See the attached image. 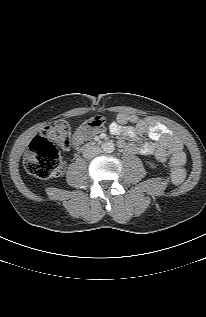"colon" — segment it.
Segmentation results:
<instances>
[{
    "label": "colon",
    "mask_w": 206,
    "mask_h": 317,
    "mask_svg": "<svg viewBox=\"0 0 206 317\" xmlns=\"http://www.w3.org/2000/svg\"><path fill=\"white\" fill-rule=\"evenodd\" d=\"M105 120L102 116H93L87 119L77 130L75 137L83 140L103 131ZM71 132L69 124L58 121L47 126L39 136H36L29 144L24 157L26 170L42 179H53L62 176L65 163L58 147L69 146ZM185 155L180 152L173 155L169 162L170 173L174 183L184 181L186 171Z\"/></svg>",
    "instance_id": "1"
}]
</instances>
